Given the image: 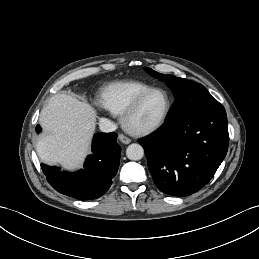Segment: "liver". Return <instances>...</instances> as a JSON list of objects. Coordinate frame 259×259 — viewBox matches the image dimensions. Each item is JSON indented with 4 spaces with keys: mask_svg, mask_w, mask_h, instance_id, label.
I'll use <instances>...</instances> for the list:
<instances>
[{
    "mask_svg": "<svg viewBox=\"0 0 259 259\" xmlns=\"http://www.w3.org/2000/svg\"><path fill=\"white\" fill-rule=\"evenodd\" d=\"M96 116V111L88 103L67 94L52 96L39 117L46 131L36 146L40 159L60 164L68 170L82 167L90 153Z\"/></svg>",
    "mask_w": 259,
    "mask_h": 259,
    "instance_id": "6515ba94",
    "label": "liver"
}]
</instances>
